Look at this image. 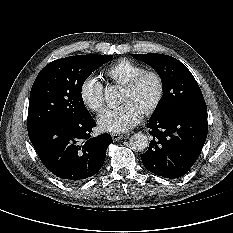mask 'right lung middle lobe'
I'll list each match as a JSON object with an SVG mask.
<instances>
[{
    "mask_svg": "<svg viewBox=\"0 0 233 233\" xmlns=\"http://www.w3.org/2000/svg\"><path fill=\"white\" fill-rule=\"evenodd\" d=\"M112 55H77L52 61L38 74L29 99L27 129L73 122L89 114L81 89L88 76Z\"/></svg>",
    "mask_w": 233,
    "mask_h": 233,
    "instance_id": "right-lung-middle-lobe-1",
    "label": "right lung middle lobe"
}]
</instances>
